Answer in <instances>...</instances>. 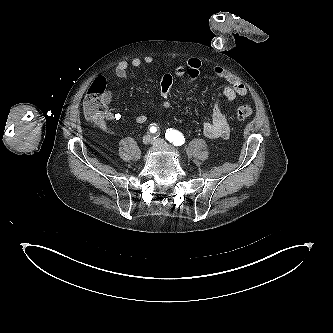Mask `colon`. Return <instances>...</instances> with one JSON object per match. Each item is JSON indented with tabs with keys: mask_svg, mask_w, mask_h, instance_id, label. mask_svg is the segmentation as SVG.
Here are the masks:
<instances>
[{
	"mask_svg": "<svg viewBox=\"0 0 333 333\" xmlns=\"http://www.w3.org/2000/svg\"><path fill=\"white\" fill-rule=\"evenodd\" d=\"M106 81L102 77L96 78L88 89L83 109L85 117L97 122L101 120L107 112L106 102ZM236 118L245 121L252 115V109L249 105H242L236 109Z\"/></svg>",
	"mask_w": 333,
	"mask_h": 333,
	"instance_id": "colon-1",
	"label": "colon"
}]
</instances>
